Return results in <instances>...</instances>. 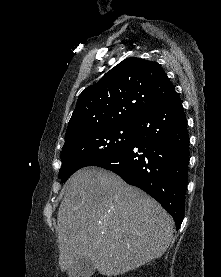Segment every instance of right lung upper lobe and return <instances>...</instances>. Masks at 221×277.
I'll return each mask as SVG.
<instances>
[{
    "instance_id": "1",
    "label": "right lung upper lobe",
    "mask_w": 221,
    "mask_h": 277,
    "mask_svg": "<svg viewBox=\"0 0 221 277\" xmlns=\"http://www.w3.org/2000/svg\"><path fill=\"white\" fill-rule=\"evenodd\" d=\"M174 92L157 62L127 58L79 95L65 140L96 126L134 123Z\"/></svg>"
}]
</instances>
